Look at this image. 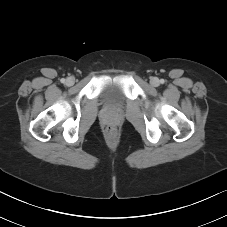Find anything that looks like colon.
Returning a JSON list of instances; mask_svg holds the SVG:
<instances>
[{
	"mask_svg": "<svg viewBox=\"0 0 227 227\" xmlns=\"http://www.w3.org/2000/svg\"><path fill=\"white\" fill-rule=\"evenodd\" d=\"M105 133L108 137L113 138L116 134V129L113 125H107L105 127Z\"/></svg>",
	"mask_w": 227,
	"mask_h": 227,
	"instance_id": "obj_1",
	"label": "colon"
}]
</instances>
